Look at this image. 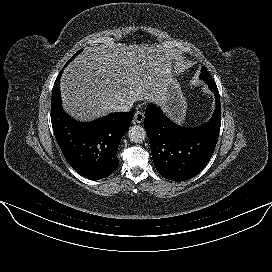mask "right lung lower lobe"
<instances>
[{"label":"right lung lower lobe","mask_w":272,"mask_h":272,"mask_svg":"<svg viewBox=\"0 0 272 272\" xmlns=\"http://www.w3.org/2000/svg\"><path fill=\"white\" fill-rule=\"evenodd\" d=\"M62 71L54 83L51 101V122L58 145L80 175L92 180L108 177L118 168L116 153L134 113H111L88 123L73 120L61 105Z\"/></svg>","instance_id":"98d812e1"}]
</instances>
